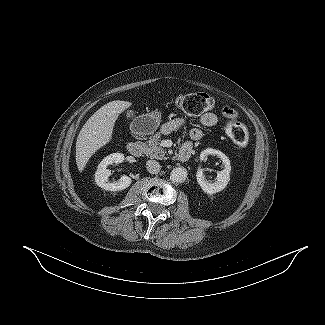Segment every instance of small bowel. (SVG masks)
I'll return each mask as SVG.
<instances>
[{
	"label": "small bowel",
	"mask_w": 325,
	"mask_h": 325,
	"mask_svg": "<svg viewBox=\"0 0 325 325\" xmlns=\"http://www.w3.org/2000/svg\"><path fill=\"white\" fill-rule=\"evenodd\" d=\"M236 116L237 113L232 108L226 107L222 111V116H219L217 113L214 112L205 113L204 115L201 116L200 123L205 127H215L221 122L222 118L231 119V118H235ZM184 123L185 121L181 118L170 120L162 126V132L170 133L172 131H175L181 128L184 125ZM189 136H190V141L187 142L186 144L193 146V142H197L202 139L203 132L199 128H193L190 130Z\"/></svg>",
	"instance_id": "obj_1"
}]
</instances>
